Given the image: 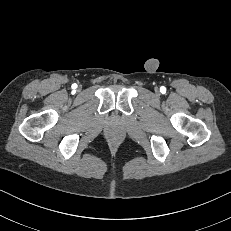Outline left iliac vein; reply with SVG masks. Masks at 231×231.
I'll return each mask as SVG.
<instances>
[{
    "label": "left iliac vein",
    "instance_id": "1",
    "mask_svg": "<svg viewBox=\"0 0 231 231\" xmlns=\"http://www.w3.org/2000/svg\"><path fill=\"white\" fill-rule=\"evenodd\" d=\"M155 91H156V93H159V90H158V89H156Z\"/></svg>",
    "mask_w": 231,
    "mask_h": 231
}]
</instances>
